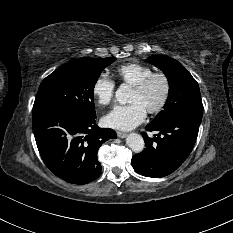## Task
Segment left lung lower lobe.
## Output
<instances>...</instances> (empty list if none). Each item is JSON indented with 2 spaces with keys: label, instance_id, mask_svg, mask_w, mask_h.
I'll return each mask as SVG.
<instances>
[{
  "label": "left lung lower lobe",
  "instance_id": "obj_1",
  "mask_svg": "<svg viewBox=\"0 0 233 233\" xmlns=\"http://www.w3.org/2000/svg\"><path fill=\"white\" fill-rule=\"evenodd\" d=\"M203 105L192 106L161 125L148 124L156 131L149 138L145 132V149L132 157L134 170L143 176L164 177L174 172L189 156L196 142L202 120Z\"/></svg>",
  "mask_w": 233,
  "mask_h": 233
}]
</instances>
